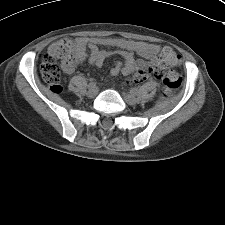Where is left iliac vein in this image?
Returning a JSON list of instances; mask_svg holds the SVG:
<instances>
[{"mask_svg": "<svg viewBox=\"0 0 225 225\" xmlns=\"http://www.w3.org/2000/svg\"><path fill=\"white\" fill-rule=\"evenodd\" d=\"M124 100L131 106H134L138 103L137 98L134 97L131 93H124Z\"/></svg>", "mask_w": 225, "mask_h": 225, "instance_id": "1", "label": "left iliac vein"}]
</instances>
